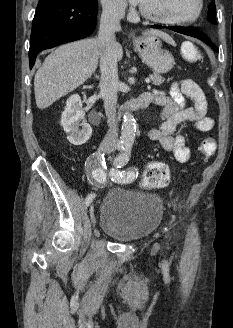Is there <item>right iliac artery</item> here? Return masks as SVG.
I'll use <instances>...</instances> for the list:
<instances>
[{"label":"right iliac artery","mask_w":233,"mask_h":328,"mask_svg":"<svg viewBox=\"0 0 233 328\" xmlns=\"http://www.w3.org/2000/svg\"><path fill=\"white\" fill-rule=\"evenodd\" d=\"M122 146H118L119 150H122ZM105 154L101 152L93 153L86 162V171L89 182L98 188H102L107 185L108 180L105 172ZM95 194H89L85 199V204L89 206Z\"/></svg>","instance_id":"right-iliac-artery-1"}]
</instances>
